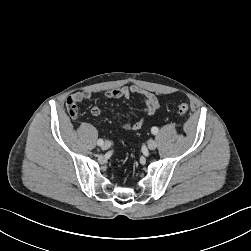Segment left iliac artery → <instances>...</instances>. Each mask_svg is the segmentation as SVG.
Instances as JSON below:
<instances>
[{"instance_id": "obj_1", "label": "left iliac artery", "mask_w": 251, "mask_h": 251, "mask_svg": "<svg viewBox=\"0 0 251 251\" xmlns=\"http://www.w3.org/2000/svg\"><path fill=\"white\" fill-rule=\"evenodd\" d=\"M151 133L156 135L158 133V128L157 127H152L151 128Z\"/></svg>"}]
</instances>
